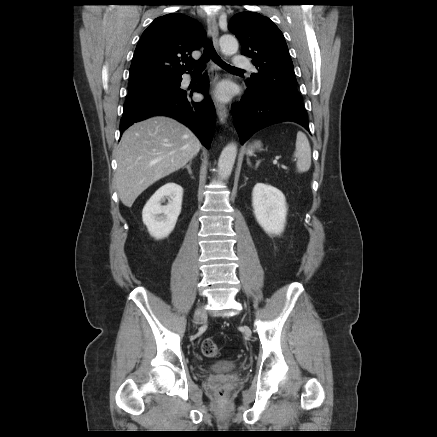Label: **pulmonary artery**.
Instances as JSON below:
<instances>
[{"instance_id":"pulmonary-artery-1","label":"pulmonary artery","mask_w":437,"mask_h":437,"mask_svg":"<svg viewBox=\"0 0 437 437\" xmlns=\"http://www.w3.org/2000/svg\"><path fill=\"white\" fill-rule=\"evenodd\" d=\"M233 66L239 69H253L251 62L244 56H235L233 59Z\"/></svg>"}]
</instances>
